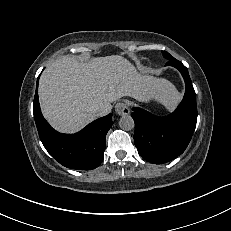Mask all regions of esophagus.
<instances>
[{
    "instance_id": "34e87169",
    "label": "esophagus",
    "mask_w": 231,
    "mask_h": 231,
    "mask_svg": "<svg viewBox=\"0 0 231 231\" xmlns=\"http://www.w3.org/2000/svg\"><path fill=\"white\" fill-rule=\"evenodd\" d=\"M115 111L118 115H127L130 109L126 102H118L115 106Z\"/></svg>"
}]
</instances>
